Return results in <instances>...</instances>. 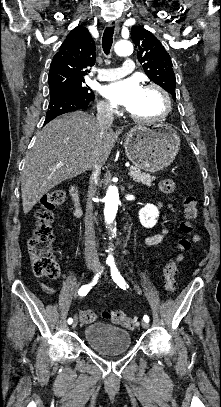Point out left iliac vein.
Here are the masks:
<instances>
[{
	"label": "left iliac vein",
	"instance_id": "left-iliac-vein-1",
	"mask_svg": "<svg viewBox=\"0 0 221 407\" xmlns=\"http://www.w3.org/2000/svg\"><path fill=\"white\" fill-rule=\"evenodd\" d=\"M97 269L99 270L100 268L98 267ZM149 327H150V325H149L148 322H145V321L142 322V328L143 329H149Z\"/></svg>",
	"mask_w": 221,
	"mask_h": 407
}]
</instances>
